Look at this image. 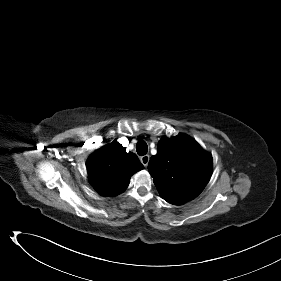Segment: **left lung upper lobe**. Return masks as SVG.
Masks as SVG:
<instances>
[{"label":"left lung upper lobe","mask_w":281,"mask_h":281,"mask_svg":"<svg viewBox=\"0 0 281 281\" xmlns=\"http://www.w3.org/2000/svg\"><path fill=\"white\" fill-rule=\"evenodd\" d=\"M211 168V154L185 134L161 138L148 164L159 194L174 205L197 197L210 179Z\"/></svg>","instance_id":"left-lung-upper-lobe-1"}]
</instances>
